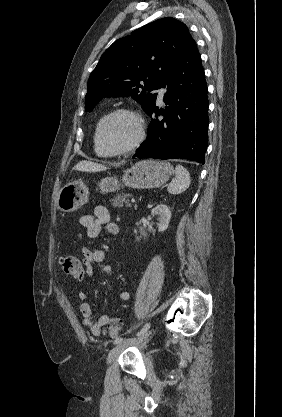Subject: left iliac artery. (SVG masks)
Returning <instances> with one entry per match:
<instances>
[{
  "mask_svg": "<svg viewBox=\"0 0 282 417\" xmlns=\"http://www.w3.org/2000/svg\"><path fill=\"white\" fill-rule=\"evenodd\" d=\"M149 328H150V323H146L145 326L140 330V332L137 333V336L144 334L145 332L148 331ZM124 340H125L124 337H119L114 341V344H118Z\"/></svg>",
  "mask_w": 282,
  "mask_h": 417,
  "instance_id": "1",
  "label": "left iliac artery"
}]
</instances>
